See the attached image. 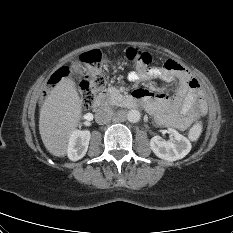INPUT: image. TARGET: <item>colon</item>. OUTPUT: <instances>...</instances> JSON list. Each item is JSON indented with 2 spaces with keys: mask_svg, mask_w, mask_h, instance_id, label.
I'll return each mask as SVG.
<instances>
[{
  "mask_svg": "<svg viewBox=\"0 0 233 233\" xmlns=\"http://www.w3.org/2000/svg\"><path fill=\"white\" fill-rule=\"evenodd\" d=\"M126 58L138 69L148 68L153 63L152 56L143 50L136 48H128L126 50ZM81 61L85 63L89 69V74L79 81V93L82 104L85 107H91L95 101L96 95L103 89L105 79L101 72V54L97 50L88 51L81 55ZM70 75L68 67H61L49 79L47 91L55 87L64 78ZM202 134V124L197 121L189 130V138L196 141Z\"/></svg>",
  "mask_w": 233,
  "mask_h": 233,
  "instance_id": "5ec220e1",
  "label": "colon"
}]
</instances>
